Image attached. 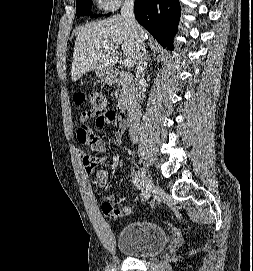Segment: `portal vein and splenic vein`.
<instances>
[{"instance_id":"1","label":"portal vein and splenic vein","mask_w":253,"mask_h":271,"mask_svg":"<svg viewBox=\"0 0 253 271\" xmlns=\"http://www.w3.org/2000/svg\"><path fill=\"white\" fill-rule=\"evenodd\" d=\"M133 61L131 59H125L124 60V66L125 67H132Z\"/></svg>"}]
</instances>
